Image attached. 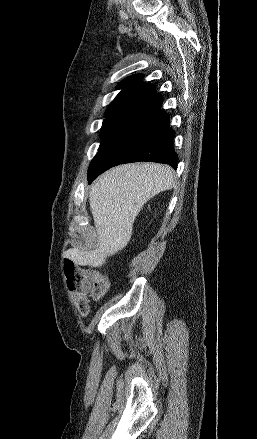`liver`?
<instances>
[{"mask_svg": "<svg viewBox=\"0 0 257 439\" xmlns=\"http://www.w3.org/2000/svg\"><path fill=\"white\" fill-rule=\"evenodd\" d=\"M174 184V173L166 165L125 164L109 170L94 182L89 194L97 230L95 248H72L64 256L81 266L101 267L128 244L144 204Z\"/></svg>", "mask_w": 257, "mask_h": 439, "instance_id": "liver-1", "label": "liver"}]
</instances>
